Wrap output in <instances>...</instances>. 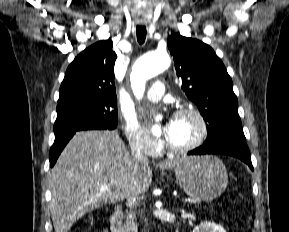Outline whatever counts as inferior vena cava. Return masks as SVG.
Masks as SVG:
<instances>
[{
    "instance_id": "inferior-vena-cava-1",
    "label": "inferior vena cava",
    "mask_w": 289,
    "mask_h": 232,
    "mask_svg": "<svg viewBox=\"0 0 289 232\" xmlns=\"http://www.w3.org/2000/svg\"><path fill=\"white\" fill-rule=\"evenodd\" d=\"M131 154L134 158V160L136 161H140V162H148V158L146 157V155L144 154V149L137 147L136 144H133L131 146ZM142 218V217H141ZM143 221L145 222V224L147 225V221L146 218L144 219L143 217Z\"/></svg>"
}]
</instances>
